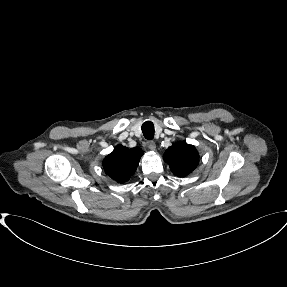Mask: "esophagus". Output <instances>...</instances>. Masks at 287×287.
<instances>
[{"label":"esophagus","mask_w":287,"mask_h":287,"mask_svg":"<svg viewBox=\"0 0 287 287\" xmlns=\"http://www.w3.org/2000/svg\"><path fill=\"white\" fill-rule=\"evenodd\" d=\"M147 147L150 149V150H155L156 149V144L154 141H147Z\"/></svg>","instance_id":"1"}]
</instances>
